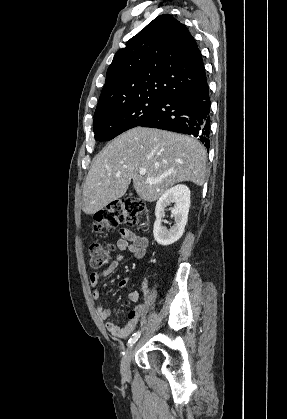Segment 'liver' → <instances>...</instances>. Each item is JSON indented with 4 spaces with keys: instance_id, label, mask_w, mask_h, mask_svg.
<instances>
[{
    "instance_id": "6515ba94",
    "label": "liver",
    "mask_w": 287,
    "mask_h": 419,
    "mask_svg": "<svg viewBox=\"0 0 287 419\" xmlns=\"http://www.w3.org/2000/svg\"><path fill=\"white\" fill-rule=\"evenodd\" d=\"M206 150L195 138L154 128L135 127L113 139L94 159L84 187L82 210L94 215L121 198L133 180L138 196L156 201L183 181L202 186ZM146 174L140 175L139 170ZM147 177L156 182L150 183Z\"/></svg>"
}]
</instances>
